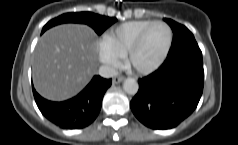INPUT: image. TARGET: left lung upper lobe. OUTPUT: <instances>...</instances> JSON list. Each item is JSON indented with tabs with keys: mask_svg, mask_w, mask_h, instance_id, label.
<instances>
[{
	"mask_svg": "<svg viewBox=\"0 0 238 145\" xmlns=\"http://www.w3.org/2000/svg\"><path fill=\"white\" fill-rule=\"evenodd\" d=\"M164 20L170 26H172L174 23H176L175 21H173L171 19L165 18ZM193 44H197L196 40H195L193 34L187 28L185 30V34H184L183 37H176V36H174V33H173V42H172L169 54L178 51L182 47H185V46H188V45H193Z\"/></svg>",
	"mask_w": 238,
	"mask_h": 145,
	"instance_id": "left-lung-upper-lobe-1",
	"label": "left lung upper lobe"
}]
</instances>
